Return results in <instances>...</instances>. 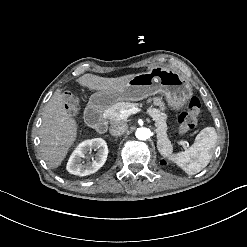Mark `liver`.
<instances>
[{"label": "liver", "mask_w": 247, "mask_h": 247, "mask_svg": "<svg viewBox=\"0 0 247 247\" xmlns=\"http://www.w3.org/2000/svg\"><path fill=\"white\" fill-rule=\"evenodd\" d=\"M134 76L129 74L117 78H104L84 74L77 82L90 90H120ZM39 135L43 159L49 168H57L77 136V123L65 108L60 89L54 92L44 108Z\"/></svg>", "instance_id": "6515ba94"}]
</instances>
